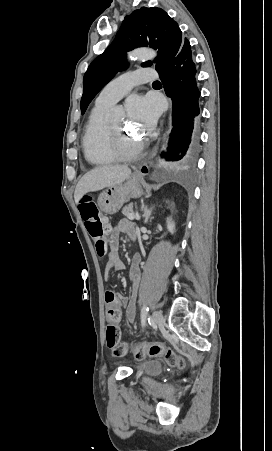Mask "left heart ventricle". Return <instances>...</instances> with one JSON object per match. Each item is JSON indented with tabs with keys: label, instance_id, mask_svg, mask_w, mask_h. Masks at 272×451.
<instances>
[{
	"label": "left heart ventricle",
	"instance_id": "b2bd125f",
	"mask_svg": "<svg viewBox=\"0 0 272 451\" xmlns=\"http://www.w3.org/2000/svg\"><path fill=\"white\" fill-rule=\"evenodd\" d=\"M110 125H111V127L113 129L116 141L118 143L124 144V143H127L128 141H130V139L123 132V129H124V121H123V119L116 120V121L110 123Z\"/></svg>",
	"mask_w": 272,
	"mask_h": 451
}]
</instances>
